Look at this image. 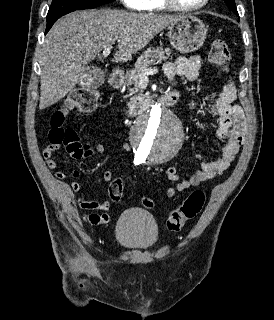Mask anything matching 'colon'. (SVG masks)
Wrapping results in <instances>:
<instances>
[{
  "instance_id": "colon-1",
  "label": "colon",
  "mask_w": 274,
  "mask_h": 320,
  "mask_svg": "<svg viewBox=\"0 0 274 320\" xmlns=\"http://www.w3.org/2000/svg\"><path fill=\"white\" fill-rule=\"evenodd\" d=\"M231 52L224 41H216L209 51V61L212 65L220 69H227L231 65ZM99 94L95 89L76 88L69 92L65 103L57 108L49 119V143H58L59 147L65 148L68 152L83 155L87 149V144L82 142L78 133L71 128L65 127L67 116L70 110H75L80 114L93 111L97 105ZM109 193H121L124 183L115 181L106 184ZM206 200L204 191L195 189L191 191L189 197L177 206L167 219V227L172 232H178L185 222L192 220L202 210ZM149 206L154 203L149 201Z\"/></svg>"
}]
</instances>
